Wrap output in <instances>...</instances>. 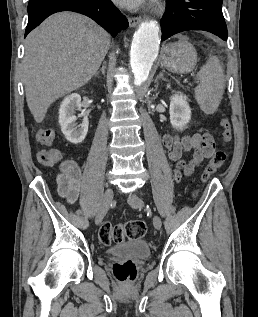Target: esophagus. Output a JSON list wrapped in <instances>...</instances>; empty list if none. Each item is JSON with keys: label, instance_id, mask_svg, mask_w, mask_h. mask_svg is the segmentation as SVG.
Wrapping results in <instances>:
<instances>
[{"label": "esophagus", "instance_id": "1", "mask_svg": "<svg viewBox=\"0 0 258 317\" xmlns=\"http://www.w3.org/2000/svg\"><path fill=\"white\" fill-rule=\"evenodd\" d=\"M128 22L130 27H136L139 23H141V17H129Z\"/></svg>", "mask_w": 258, "mask_h": 317}]
</instances>
